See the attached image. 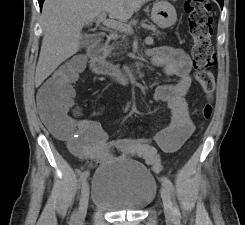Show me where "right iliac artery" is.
Segmentation results:
<instances>
[{
  "mask_svg": "<svg viewBox=\"0 0 245 225\" xmlns=\"http://www.w3.org/2000/svg\"><path fill=\"white\" fill-rule=\"evenodd\" d=\"M89 176V171H85L82 173L81 177H80V182H83L86 180V178ZM76 219V212H74L72 214V220L75 221Z\"/></svg>",
  "mask_w": 245,
  "mask_h": 225,
  "instance_id": "obj_1",
  "label": "right iliac artery"
}]
</instances>
